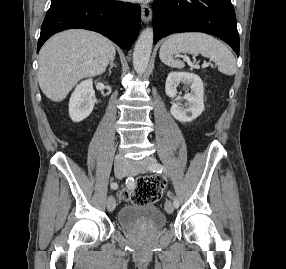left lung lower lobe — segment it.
Here are the masks:
<instances>
[{
    "label": "left lung lower lobe",
    "mask_w": 286,
    "mask_h": 269,
    "mask_svg": "<svg viewBox=\"0 0 286 269\" xmlns=\"http://www.w3.org/2000/svg\"><path fill=\"white\" fill-rule=\"evenodd\" d=\"M154 43L172 33L198 31L228 43L239 56V35L230 0H155Z\"/></svg>",
    "instance_id": "1"
}]
</instances>
